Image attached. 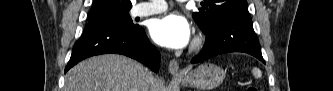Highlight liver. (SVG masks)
I'll return each instance as SVG.
<instances>
[{
	"instance_id": "liver-1",
	"label": "liver",
	"mask_w": 333,
	"mask_h": 91,
	"mask_svg": "<svg viewBox=\"0 0 333 91\" xmlns=\"http://www.w3.org/2000/svg\"><path fill=\"white\" fill-rule=\"evenodd\" d=\"M148 73L142 64L124 56H95L68 71L64 91H143ZM153 89L159 91L156 79Z\"/></svg>"
}]
</instances>
